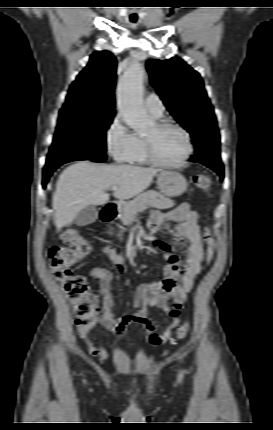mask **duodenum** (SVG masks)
Instances as JSON below:
<instances>
[{"label":"duodenum","instance_id":"1","mask_svg":"<svg viewBox=\"0 0 273 430\" xmlns=\"http://www.w3.org/2000/svg\"><path fill=\"white\" fill-rule=\"evenodd\" d=\"M118 208L115 204L109 203L106 204L100 214V219L103 223H109L115 220L118 216Z\"/></svg>","mask_w":273,"mask_h":430}]
</instances>
